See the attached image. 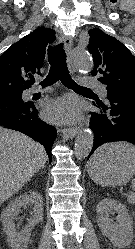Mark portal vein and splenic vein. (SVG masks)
Instances as JSON below:
<instances>
[{"label": "portal vein and splenic vein", "mask_w": 135, "mask_h": 249, "mask_svg": "<svg viewBox=\"0 0 135 249\" xmlns=\"http://www.w3.org/2000/svg\"><path fill=\"white\" fill-rule=\"evenodd\" d=\"M128 195L133 196L135 194L133 192H128Z\"/></svg>", "instance_id": "18ae733b"}]
</instances>
